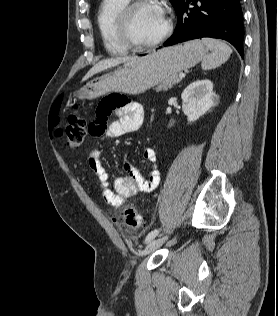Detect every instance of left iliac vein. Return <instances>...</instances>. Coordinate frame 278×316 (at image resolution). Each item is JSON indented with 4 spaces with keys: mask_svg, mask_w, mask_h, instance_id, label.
<instances>
[{
    "mask_svg": "<svg viewBox=\"0 0 278 316\" xmlns=\"http://www.w3.org/2000/svg\"><path fill=\"white\" fill-rule=\"evenodd\" d=\"M167 240V236L159 237L157 239L151 240L145 249L142 252V255H148L159 248L165 241Z\"/></svg>",
    "mask_w": 278,
    "mask_h": 316,
    "instance_id": "obj_1",
    "label": "left iliac vein"
}]
</instances>
